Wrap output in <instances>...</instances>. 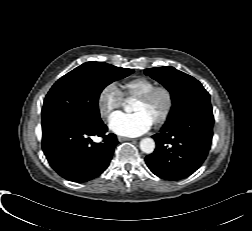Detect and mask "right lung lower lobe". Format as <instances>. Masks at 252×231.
I'll list each match as a JSON object with an SVG mask.
<instances>
[{"instance_id": "1", "label": "right lung lower lobe", "mask_w": 252, "mask_h": 231, "mask_svg": "<svg viewBox=\"0 0 252 231\" xmlns=\"http://www.w3.org/2000/svg\"><path fill=\"white\" fill-rule=\"evenodd\" d=\"M107 126L97 123L62 121L43 130L42 148L50 166L62 177L74 182H86L99 176L109 165L116 135L108 134ZM103 138L101 143L91 136Z\"/></svg>"}]
</instances>
